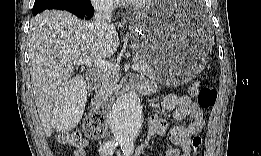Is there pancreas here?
Segmentation results:
<instances>
[{
	"mask_svg": "<svg viewBox=\"0 0 261 156\" xmlns=\"http://www.w3.org/2000/svg\"><path fill=\"white\" fill-rule=\"evenodd\" d=\"M134 63L139 64V71L146 76H154L153 69L149 64L146 57L141 55L139 52L134 53ZM119 80V74L109 71H103L100 74V80L97 85L96 95L94 97L95 102L105 103L108 101L117 89V82Z\"/></svg>",
	"mask_w": 261,
	"mask_h": 156,
	"instance_id": "cf45deb5",
	"label": "pancreas"
}]
</instances>
